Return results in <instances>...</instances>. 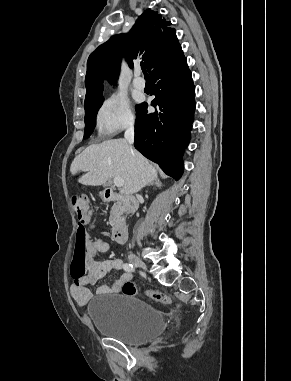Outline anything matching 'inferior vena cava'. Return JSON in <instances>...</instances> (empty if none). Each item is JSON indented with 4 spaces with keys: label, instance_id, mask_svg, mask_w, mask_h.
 Segmentation results:
<instances>
[{
    "label": "inferior vena cava",
    "instance_id": "602c4592",
    "mask_svg": "<svg viewBox=\"0 0 291 381\" xmlns=\"http://www.w3.org/2000/svg\"><path fill=\"white\" fill-rule=\"evenodd\" d=\"M124 136L129 144H132L134 142V125L133 124H130L127 127Z\"/></svg>",
    "mask_w": 291,
    "mask_h": 381
}]
</instances>
